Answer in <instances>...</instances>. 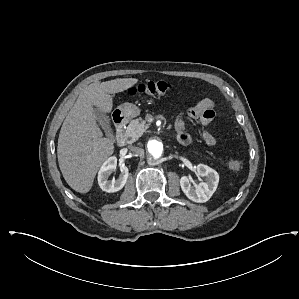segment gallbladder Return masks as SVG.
Segmentation results:
<instances>
[{"label": "gallbladder", "instance_id": "bac80fb5", "mask_svg": "<svg viewBox=\"0 0 299 299\" xmlns=\"http://www.w3.org/2000/svg\"><path fill=\"white\" fill-rule=\"evenodd\" d=\"M96 113V121L102 126L103 129H110L109 117L101 112L98 108H94Z\"/></svg>", "mask_w": 299, "mask_h": 299}]
</instances>
